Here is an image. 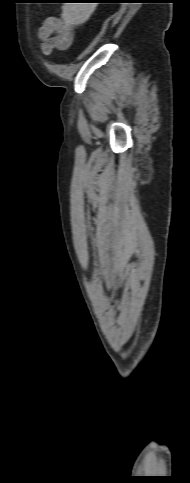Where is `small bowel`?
I'll return each instance as SVG.
<instances>
[{"label":"small bowel","instance_id":"c3829d8e","mask_svg":"<svg viewBox=\"0 0 190 483\" xmlns=\"http://www.w3.org/2000/svg\"><path fill=\"white\" fill-rule=\"evenodd\" d=\"M73 38L72 29L54 17L46 18L36 34V40L40 43L44 55H50L54 49H66Z\"/></svg>","mask_w":190,"mask_h":483}]
</instances>
